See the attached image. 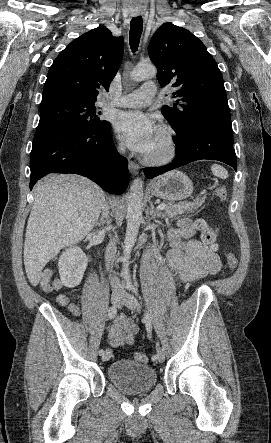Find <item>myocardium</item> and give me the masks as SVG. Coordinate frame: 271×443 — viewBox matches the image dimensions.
<instances>
[{
  "instance_id": "1",
  "label": "myocardium",
  "mask_w": 271,
  "mask_h": 443,
  "mask_svg": "<svg viewBox=\"0 0 271 443\" xmlns=\"http://www.w3.org/2000/svg\"><path fill=\"white\" fill-rule=\"evenodd\" d=\"M157 132L164 138L165 149L158 154H147L146 161L153 165H161L172 161L178 152V143L175 131L167 126L160 125Z\"/></svg>"
}]
</instances>
